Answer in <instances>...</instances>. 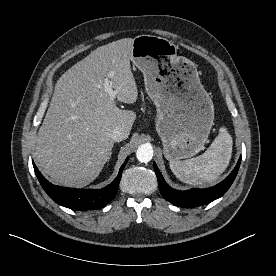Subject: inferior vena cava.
Segmentation results:
<instances>
[{
	"label": "inferior vena cava",
	"mask_w": 276,
	"mask_h": 276,
	"mask_svg": "<svg viewBox=\"0 0 276 276\" xmlns=\"http://www.w3.org/2000/svg\"><path fill=\"white\" fill-rule=\"evenodd\" d=\"M111 138H112V140L115 141V142H120V141L126 139V138H127V135H126L124 129H123L121 126H117V127L113 130V132H112V134H111Z\"/></svg>",
	"instance_id": "inferior-vena-cava-1"
}]
</instances>
